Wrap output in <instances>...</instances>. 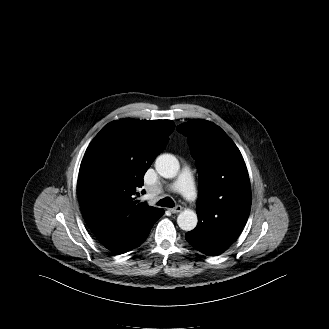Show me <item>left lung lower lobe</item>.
Here are the masks:
<instances>
[{
  "label": "left lung lower lobe",
  "mask_w": 329,
  "mask_h": 329,
  "mask_svg": "<svg viewBox=\"0 0 329 329\" xmlns=\"http://www.w3.org/2000/svg\"><path fill=\"white\" fill-rule=\"evenodd\" d=\"M243 226L228 223L224 231L219 234H206L196 228L186 234L190 245L208 256L223 253L240 235Z\"/></svg>",
  "instance_id": "1"
}]
</instances>
